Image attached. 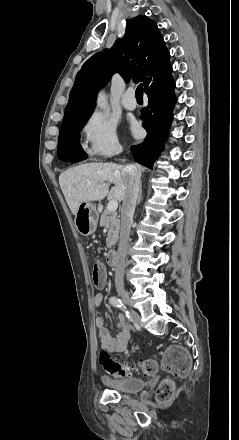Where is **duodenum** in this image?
I'll list each match as a JSON object with an SVG mask.
<instances>
[{"label":"duodenum","mask_w":239,"mask_h":440,"mask_svg":"<svg viewBox=\"0 0 239 440\" xmlns=\"http://www.w3.org/2000/svg\"><path fill=\"white\" fill-rule=\"evenodd\" d=\"M107 262L110 266L115 267L119 262V255L116 251L111 250L107 254Z\"/></svg>","instance_id":"1"}]
</instances>
